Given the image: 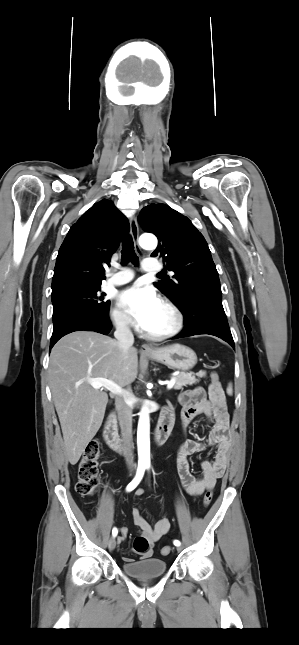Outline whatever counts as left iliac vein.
I'll return each mask as SVG.
<instances>
[{
  "mask_svg": "<svg viewBox=\"0 0 299 645\" xmlns=\"http://www.w3.org/2000/svg\"><path fill=\"white\" fill-rule=\"evenodd\" d=\"M181 550H182V547L180 545L177 546V551H181Z\"/></svg>",
  "mask_w": 299,
  "mask_h": 645,
  "instance_id": "4c4485c4",
  "label": "left iliac vein"
}]
</instances>
